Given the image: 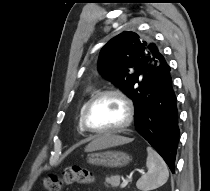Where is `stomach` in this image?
<instances>
[{"mask_svg": "<svg viewBox=\"0 0 210 191\" xmlns=\"http://www.w3.org/2000/svg\"><path fill=\"white\" fill-rule=\"evenodd\" d=\"M131 161L128 154L121 151H103L88 155L87 162L96 166L104 167H123Z\"/></svg>", "mask_w": 210, "mask_h": 191, "instance_id": "obj_1", "label": "stomach"}]
</instances>
